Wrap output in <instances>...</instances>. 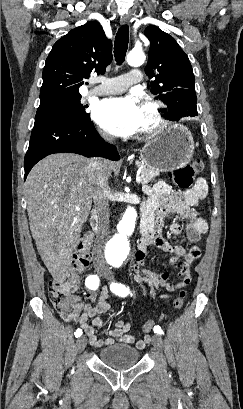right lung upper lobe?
Segmentation results:
<instances>
[{
	"mask_svg": "<svg viewBox=\"0 0 243 409\" xmlns=\"http://www.w3.org/2000/svg\"><path fill=\"white\" fill-rule=\"evenodd\" d=\"M112 61V43L96 21L72 29L52 47L43 69L40 101L80 95L92 74H103Z\"/></svg>",
	"mask_w": 243,
	"mask_h": 409,
	"instance_id": "1",
	"label": "right lung upper lobe"
}]
</instances>
